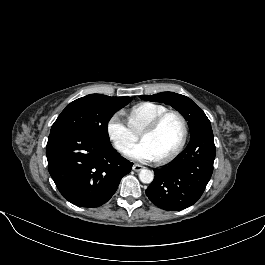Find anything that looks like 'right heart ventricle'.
<instances>
[{
  "label": "right heart ventricle",
  "instance_id": "e07e8e85",
  "mask_svg": "<svg viewBox=\"0 0 265 265\" xmlns=\"http://www.w3.org/2000/svg\"><path fill=\"white\" fill-rule=\"evenodd\" d=\"M166 111L168 108L160 104L139 103L128 111V123L135 133H139L148 123Z\"/></svg>",
  "mask_w": 265,
  "mask_h": 265
}]
</instances>
